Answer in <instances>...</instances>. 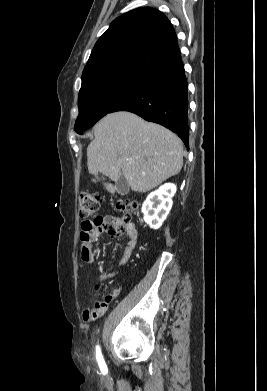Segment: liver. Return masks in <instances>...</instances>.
<instances>
[{
    "label": "liver",
    "instance_id": "6515ba94",
    "mask_svg": "<svg viewBox=\"0 0 267 391\" xmlns=\"http://www.w3.org/2000/svg\"><path fill=\"white\" fill-rule=\"evenodd\" d=\"M94 140L87 148L90 174L117 182L123 175L133 191L147 192L183 166V144L170 130L139 116L118 111L107 114L93 128ZM104 187L113 193L111 183Z\"/></svg>",
    "mask_w": 267,
    "mask_h": 391
}]
</instances>
